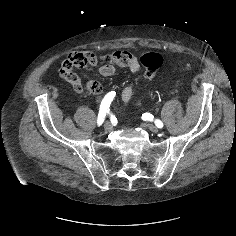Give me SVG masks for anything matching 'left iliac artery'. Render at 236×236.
I'll list each match as a JSON object with an SVG mask.
<instances>
[{"label": "left iliac artery", "instance_id": "obj_1", "mask_svg": "<svg viewBox=\"0 0 236 236\" xmlns=\"http://www.w3.org/2000/svg\"><path fill=\"white\" fill-rule=\"evenodd\" d=\"M148 116H149V114H147V113L143 114V117H148ZM155 125H156L158 128H162V127H163V123H162V121L159 120V119L155 120Z\"/></svg>", "mask_w": 236, "mask_h": 236}]
</instances>
